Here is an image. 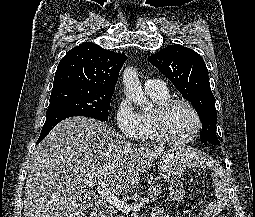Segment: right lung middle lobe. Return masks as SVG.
I'll return each instance as SVG.
<instances>
[{
    "mask_svg": "<svg viewBox=\"0 0 255 217\" xmlns=\"http://www.w3.org/2000/svg\"><path fill=\"white\" fill-rule=\"evenodd\" d=\"M114 90H101L80 85L52 89L46 115L58 111L79 113L101 121L108 120Z\"/></svg>",
    "mask_w": 255,
    "mask_h": 217,
    "instance_id": "dd1d6c3e",
    "label": "right lung middle lobe"
}]
</instances>
